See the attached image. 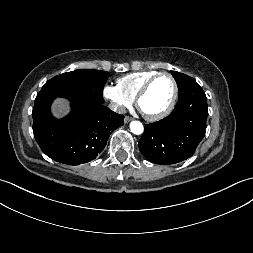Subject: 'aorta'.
I'll return each instance as SVG.
<instances>
[{
	"mask_svg": "<svg viewBox=\"0 0 253 253\" xmlns=\"http://www.w3.org/2000/svg\"><path fill=\"white\" fill-rule=\"evenodd\" d=\"M130 129H131V132L136 134V135H140L143 133V130H144V127L142 125L141 122L139 121H132L130 123Z\"/></svg>",
	"mask_w": 253,
	"mask_h": 253,
	"instance_id": "762f6f07",
	"label": "aorta"
}]
</instances>
